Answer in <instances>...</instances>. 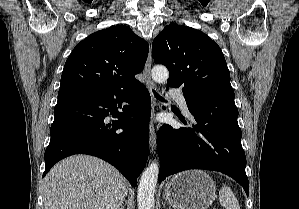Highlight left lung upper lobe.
I'll use <instances>...</instances> for the list:
<instances>
[{
	"label": "left lung upper lobe",
	"mask_w": 299,
	"mask_h": 209,
	"mask_svg": "<svg viewBox=\"0 0 299 209\" xmlns=\"http://www.w3.org/2000/svg\"><path fill=\"white\" fill-rule=\"evenodd\" d=\"M152 56L168 68V87H181L184 96L235 97L220 47L199 30L169 24L154 39Z\"/></svg>",
	"instance_id": "1"
}]
</instances>
